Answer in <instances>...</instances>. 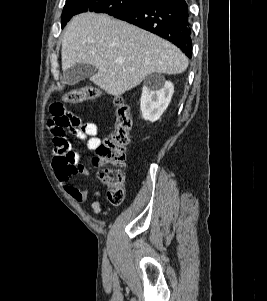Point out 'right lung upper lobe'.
I'll list each match as a JSON object with an SVG mask.
<instances>
[{
	"label": "right lung upper lobe",
	"instance_id": "obj_1",
	"mask_svg": "<svg viewBox=\"0 0 267 301\" xmlns=\"http://www.w3.org/2000/svg\"><path fill=\"white\" fill-rule=\"evenodd\" d=\"M142 1L146 2V1H148V0H142Z\"/></svg>",
	"mask_w": 267,
	"mask_h": 301
}]
</instances>
